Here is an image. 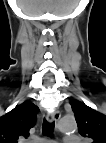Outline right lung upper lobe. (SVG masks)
<instances>
[{
    "label": "right lung upper lobe",
    "instance_id": "1",
    "mask_svg": "<svg viewBox=\"0 0 106 143\" xmlns=\"http://www.w3.org/2000/svg\"><path fill=\"white\" fill-rule=\"evenodd\" d=\"M39 108L25 101L0 117V143H18L19 138H27L30 128L36 123Z\"/></svg>",
    "mask_w": 106,
    "mask_h": 143
}]
</instances>
